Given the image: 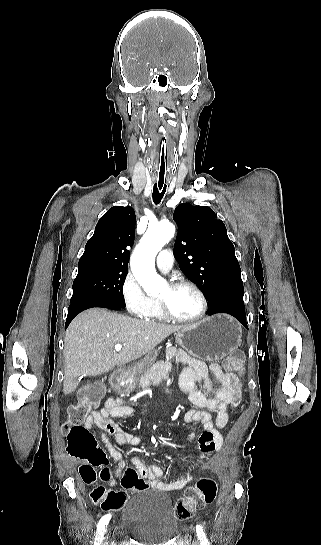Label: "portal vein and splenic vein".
<instances>
[{"instance_id":"portal-vein-and-splenic-vein-1","label":"portal vein and splenic vein","mask_w":321,"mask_h":545,"mask_svg":"<svg viewBox=\"0 0 321 545\" xmlns=\"http://www.w3.org/2000/svg\"><path fill=\"white\" fill-rule=\"evenodd\" d=\"M122 345H115V351H121Z\"/></svg>"}]
</instances>
